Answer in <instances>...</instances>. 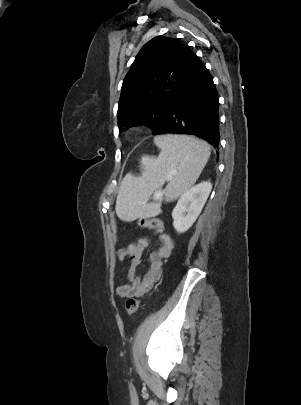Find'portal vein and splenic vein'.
Returning a JSON list of instances; mask_svg holds the SVG:
<instances>
[{"instance_id": "1", "label": "portal vein and splenic vein", "mask_w": 301, "mask_h": 405, "mask_svg": "<svg viewBox=\"0 0 301 405\" xmlns=\"http://www.w3.org/2000/svg\"><path fill=\"white\" fill-rule=\"evenodd\" d=\"M160 196H161V192H160V191H158V192H156V193H155V195H154V199H159V198H160Z\"/></svg>"}]
</instances>
